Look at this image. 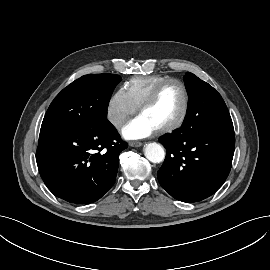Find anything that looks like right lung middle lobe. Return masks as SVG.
<instances>
[{"instance_id":"dd1d6c3e","label":"right lung middle lobe","mask_w":270,"mask_h":270,"mask_svg":"<svg viewBox=\"0 0 270 270\" xmlns=\"http://www.w3.org/2000/svg\"><path fill=\"white\" fill-rule=\"evenodd\" d=\"M116 74L84 75L64 88L50 104L42 122L44 128L85 129L104 126Z\"/></svg>"}]
</instances>
